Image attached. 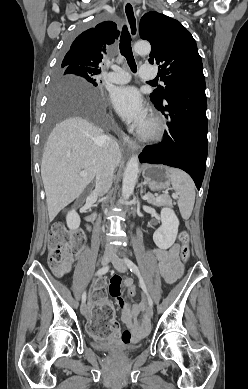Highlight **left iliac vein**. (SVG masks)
Wrapping results in <instances>:
<instances>
[{"instance_id":"left-iliac-vein-1","label":"left iliac vein","mask_w":248,"mask_h":389,"mask_svg":"<svg viewBox=\"0 0 248 389\" xmlns=\"http://www.w3.org/2000/svg\"><path fill=\"white\" fill-rule=\"evenodd\" d=\"M111 262L117 271H119L121 273H124L127 271V267H126L124 261L121 258H119L117 255L113 256ZM147 315L150 318L153 316V308L150 305L147 307Z\"/></svg>"}]
</instances>
